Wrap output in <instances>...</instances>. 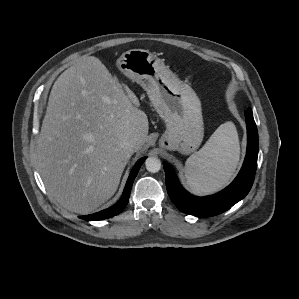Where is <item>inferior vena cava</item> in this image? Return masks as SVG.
Listing matches in <instances>:
<instances>
[{
	"label": "inferior vena cava",
	"mask_w": 299,
	"mask_h": 299,
	"mask_svg": "<svg viewBox=\"0 0 299 299\" xmlns=\"http://www.w3.org/2000/svg\"><path fill=\"white\" fill-rule=\"evenodd\" d=\"M120 146L124 151L134 152L136 146V140L134 139L124 140L120 143Z\"/></svg>",
	"instance_id": "obj_1"
}]
</instances>
